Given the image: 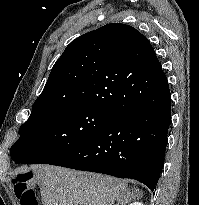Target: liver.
I'll return each mask as SVG.
<instances>
[{"mask_svg": "<svg viewBox=\"0 0 199 205\" xmlns=\"http://www.w3.org/2000/svg\"><path fill=\"white\" fill-rule=\"evenodd\" d=\"M43 205H114L139 199L127 181L101 174L43 165L35 168Z\"/></svg>", "mask_w": 199, "mask_h": 205, "instance_id": "liver-1", "label": "liver"}]
</instances>
